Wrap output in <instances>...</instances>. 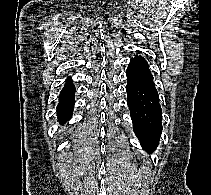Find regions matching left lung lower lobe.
I'll list each match as a JSON object with an SVG mask.
<instances>
[{
    "mask_svg": "<svg viewBox=\"0 0 211 195\" xmlns=\"http://www.w3.org/2000/svg\"><path fill=\"white\" fill-rule=\"evenodd\" d=\"M126 75L127 104L134 132L141 146L147 152H153L161 136L162 109L147 61L131 59Z\"/></svg>",
    "mask_w": 211,
    "mask_h": 195,
    "instance_id": "0a47b994",
    "label": "left lung lower lobe"
}]
</instances>
